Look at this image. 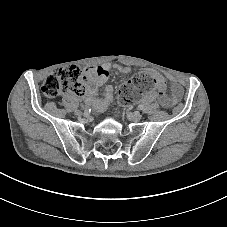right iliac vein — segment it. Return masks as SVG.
Masks as SVG:
<instances>
[{
  "mask_svg": "<svg viewBox=\"0 0 227 227\" xmlns=\"http://www.w3.org/2000/svg\"><path fill=\"white\" fill-rule=\"evenodd\" d=\"M75 114H76V115H81V111L78 110V109H76V110H75Z\"/></svg>",
  "mask_w": 227,
  "mask_h": 227,
  "instance_id": "right-iliac-vein-1",
  "label": "right iliac vein"
}]
</instances>
